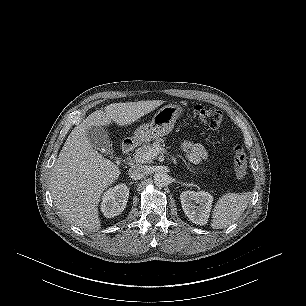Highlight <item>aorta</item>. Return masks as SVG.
Returning <instances> with one entry per match:
<instances>
[{
    "label": "aorta",
    "instance_id": "1",
    "mask_svg": "<svg viewBox=\"0 0 306 306\" xmlns=\"http://www.w3.org/2000/svg\"><path fill=\"white\" fill-rule=\"evenodd\" d=\"M169 175L166 173H157L154 175V183L158 187H164L169 184Z\"/></svg>",
    "mask_w": 306,
    "mask_h": 306
}]
</instances>
